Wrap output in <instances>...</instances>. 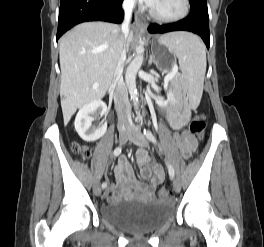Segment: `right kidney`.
Instances as JSON below:
<instances>
[{"mask_svg": "<svg viewBox=\"0 0 264 247\" xmlns=\"http://www.w3.org/2000/svg\"><path fill=\"white\" fill-rule=\"evenodd\" d=\"M106 104L100 100L90 102L78 111L75 118V130L78 135L87 142H93L101 138L106 130L107 123L94 126L92 122L99 116L106 112Z\"/></svg>", "mask_w": 264, "mask_h": 247, "instance_id": "right-kidney-1", "label": "right kidney"}]
</instances>
